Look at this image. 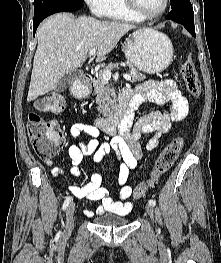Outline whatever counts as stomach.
I'll list each match as a JSON object with an SVG mask.
<instances>
[{
    "instance_id": "1",
    "label": "stomach",
    "mask_w": 221,
    "mask_h": 263,
    "mask_svg": "<svg viewBox=\"0 0 221 263\" xmlns=\"http://www.w3.org/2000/svg\"><path fill=\"white\" fill-rule=\"evenodd\" d=\"M125 56L139 70L154 74L164 71L173 58V46L163 33L138 30L127 39Z\"/></svg>"
}]
</instances>
